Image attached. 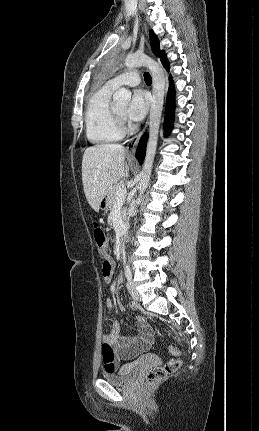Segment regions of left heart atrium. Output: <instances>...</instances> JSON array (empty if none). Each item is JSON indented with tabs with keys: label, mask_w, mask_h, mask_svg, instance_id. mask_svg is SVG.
<instances>
[{
	"label": "left heart atrium",
	"mask_w": 259,
	"mask_h": 431,
	"mask_svg": "<svg viewBox=\"0 0 259 431\" xmlns=\"http://www.w3.org/2000/svg\"><path fill=\"white\" fill-rule=\"evenodd\" d=\"M148 107V95L142 90H135L132 94L128 108L125 111V116L132 122H139L145 117Z\"/></svg>",
	"instance_id": "left-heart-atrium-1"
}]
</instances>
